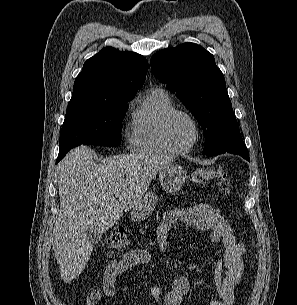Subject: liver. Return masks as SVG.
Returning <instances> with one entry per match:
<instances>
[{
  "mask_svg": "<svg viewBox=\"0 0 297 305\" xmlns=\"http://www.w3.org/2000/svg\"><path fill=\"white\" fill-rule=\"evenodd\" d=\"M174 159L133 153L97 164L96 153L80 146L61 160L57 170L60 210L52 247L65 283L79 276L90 259L93 244L86 237L88 227L110 229L124 211L140 202L152 179Z\"/></svg>",
  "mask_w": 297,
  "mask_h": 305,
  "instance_id": "6515ba94",
  "label": "liver"
}]
</instances>
